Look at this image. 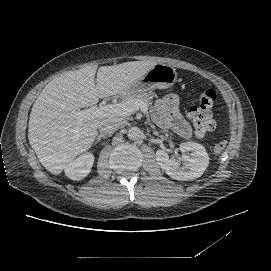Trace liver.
<instances>
[{"instance_id":"liver-1","label":"liver","mask_w":271,"mask_h":271,"mask_svg":"<svg viewBox=\"0 0 271 271\" xmlns=\"http://www.w3.org/2000/svg\"><path fill=\"white\" fill-rule=\"evenodd\" d=\"M156 63L125 62L112 66H87L50 81L35 100L28 123V139L40 163L54 175L91 148L103 118L77 119L73 112L92 107L112 95L123 97ZM97 79L95 83V74Z\"/></svg>"}]
</instances>
